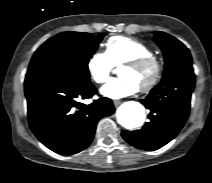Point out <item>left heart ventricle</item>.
I'll list each match as a JSON object with an SVG mask.
<instances>
[{
  "label": "left heart ventricle",
  "mask_w": 212,
  "mask_h": 183,
  "mask_svg": "<svg viewBox=\"0 0 212 183\" xmlns=\"http://www.w3.org/2000/svg\"><path fill=\"white\" fill-rule=\"evenodd\" d=\"M152 70L151 69H139L135 70L128 67H122L119 70V76L121 78L128 79L135 83L138 87L146 84L151 78Z\"/></svg>",
  "instance_id": "1"
}]
</instances>
